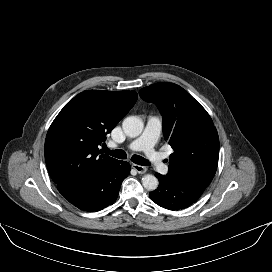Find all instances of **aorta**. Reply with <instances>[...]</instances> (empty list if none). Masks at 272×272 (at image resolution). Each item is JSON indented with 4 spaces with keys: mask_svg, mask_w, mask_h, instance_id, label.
I'll list each match as a JSON object with an SVG mask.
<instances>
[{
    "mask_svg": "<svg viewBox=\"0 0 272 272\" xmlns=\"http://www.w3.org/2000/svg\"><path fill=\"white\" fill-rule=\"evenodd\" d=\"M122 127L127 136L137 137L142 133L144 124L139 117L129 116L124 119ZM158 184L159 181L154 175L146 174L142 178V185L148 191H153L157 189Z\"/></svg>",
    "mask_w": 272,
    "mask_h": 272,
    "instance_id": "aorta-1",
    "label": "aorta"
}]
</instances>
